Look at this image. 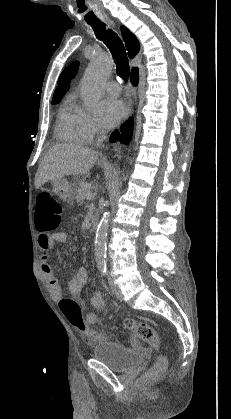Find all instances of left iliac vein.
Here are the masks:
<instances>
[{
	"label": "left iliac vein",
	"mask_w": 231,
	"mask_h": 419,
	"mask_svg": "<svg viewBox=\"0 0 231 419\" xmlns=\"http://www.w3.org/2000/svg\"><path fill=\"white\" fill-rule=\"evenodd\" d=\"M108 282H109V285H110L111 290L114 293V295L117 297L118 300L122 301L123 300V295H122L120 289L114 283V279L112 278V276L110 275L109 272H108Z\"/></svg>",
	"instance_id": "obj_1"
}]
</instances>
